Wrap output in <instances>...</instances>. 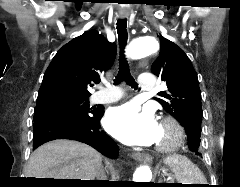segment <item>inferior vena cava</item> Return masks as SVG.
<instances>
[{"label":"inferior vena cava","instance_id":"602c4592","mask_svg":"<svg viewBox=\"0 0 240 187\" xmlns=\"http://www.w3.org/2000/svg\"><path fill=\"white\" fill-rule=\"evenodd\" d=\"M106 176L104 174V170L101 168L97 173V180H105Z\"/></svg>","mask_w":240,"mask_h":187}]
</instances>
